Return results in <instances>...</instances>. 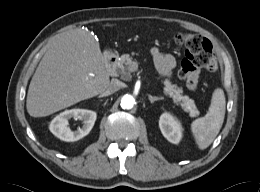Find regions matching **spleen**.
I'll use <instances>...</instances> for the list:
<instances>
[{
  "label": "spleen",
  "mask_w": 260,
  "mask_h": 192,
  "mask_svg": "<svg viewBox=\"0 0 260 192\" xmlns=\"http://www.w3.org/2000/svg\"><path fill=\"white\" fill-rule=\"evenodd\" d=\"M226 100L221 88L214 90L209 111L191 124V131L199 149H206L218 135L225 117Z\"/></svg>",
  "instance_id": "spleen-1"
}]
</instances>
